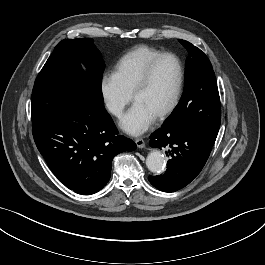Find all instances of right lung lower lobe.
Returning a JSON list of instances; mask_svg holds the SVG:
<instances>
[{
    "label": "right lung lower lobe",
    "mask_w": 265,
    "mask_h": 265,
    "mask_svg": "<svg viewBox=\"0 0 265 265\" xmlns=\"http://www.w3.org/2000/svg\"><path fill=\"white\" fill-rule=\"evenodd\" d=\"M38 150L54 175L82 195L109 181L113 158L136 144L121 135L103 102L80 95L32 130Z\"/></svg>",
    "instance_id": "right-lung-lower-lobe-1"
}]
</instances>
